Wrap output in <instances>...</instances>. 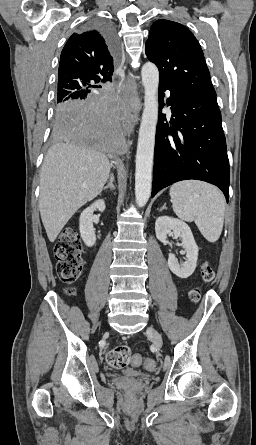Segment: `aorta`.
Masks as SVG:
<instances>
[{
  "instance_id": "obj_1",
  "label": "aorta",
  "mask_w": 256,
  "mask_h": 445,
  "mask_svg": "<svg viewBox=\"0 0 256 445\" xmlns=\"http://www.w3.org/2000/svg\"><path fill=\"white\" fill-rule=\"evenodd\" d=\"M141 76L145 95L135 171V197L139 207L146 205L151 194L155 133L158 121V68L155 64L147 62L142 67Z\"/></svg>"
}]
</instances>
